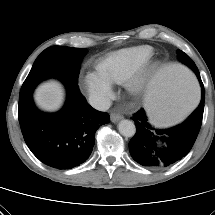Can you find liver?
Returning <instances> with one entry per match:
<instances>
[{
  "mask_svg": "<svg viewBox=\"0 0 215 215\" xmlns=\"http://www.w3.org/2000/svg\"><path fill=\"white\" fill-rule=\"evenodd\" d=\"M34 99L37 106L41 109L45 111H56L63 103V87L54 80L45 82L36 89Z\"/></svg>",
  "mask_w": 215,
  "mask_h": 215,
  "instance_id": "obj_1",
  "label": "liver"
}]
</instances>
